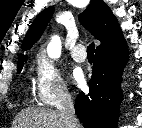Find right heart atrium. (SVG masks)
I'll list each match as a JSON object with an SVG mask.
<instances>
[{
	"label": "right heart atrium",
	"mask_w": 142,
	"mask_h": 128,
	"mask_svg": "<svg viewBox=\"0 0 142 128\" xmlns=\"http://www.w3.org/2000/svg\"><path fill=\"white\" fill-rule=\"evenodd\" d=\"M34 90L37 99L45 105H54L70 98L60 70L44 55H39L35 62Z\"/></svg>",
	"instance_id": "1"
}]
</instances>
